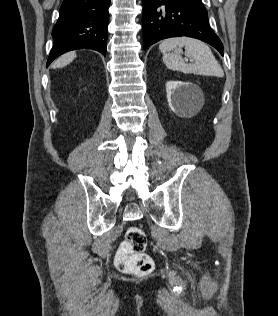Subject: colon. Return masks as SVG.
Returning a JSON list of instances; mask_svg holds the SVG:
<instances>
[{"instance_id":"obj_1","label":"colon","mask_w":278,"mask_h":316,"mask_svg":"<svg viewBox=\"0 0 278 316\" xmlns=\"http://www.w3.org/2000/svg\"><path fill=\"white\" fill-rule=\"evenodd\" d=\"M146 247L145 232L136 226L129 227L116 254L117 269L121 272L141 275L150 273L153 270L154 262L145 253Z\"/></svg>"}]
</instances>
